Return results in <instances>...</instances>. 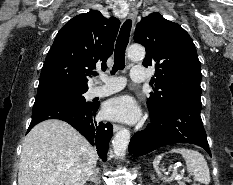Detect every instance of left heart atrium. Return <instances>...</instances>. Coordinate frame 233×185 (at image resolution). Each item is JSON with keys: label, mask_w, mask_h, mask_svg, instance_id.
<instances>
[{"label": "left heart atrium", "mask_w": 233, "mask_h": 185, "mask_svg": "<svg viewBox=\"0 0 233 185\" xmlns=\"http://www.w3.org/2000/svg\"><path fill=\"white\" fill-rule=\"evenodd\" d=\"M107 118L115 121L133 123L140 117V109L129 95H121L109 100L104 107Z\"/></svg>", "instance_id": "39dd6f15"}]
</instances>
